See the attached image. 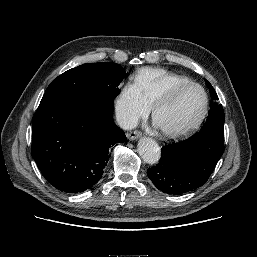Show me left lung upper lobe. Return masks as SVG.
Segmentation results:
<instances>
[{
	"label": "left lung upper lobe",
	"instance_id": "obj_1",
	"mask_svg": "<svg viewBox=\"0 0 257 257\" xmlns=\"http://www.w3.org/2000/svg\"><path fill=\"white\" fill-rule=\"evenodd\" d=\"M206 84L209 87V91L212 99L215 100V103H212L210 111L208 113V118L201 128V130L196 133L200 134H214L218 136H224V110L221 104L216 102L218 96L212 87V85L206 80Z\"/></svg>",
	"mask_w": 257,
	"mask_h": 257
}]
</instances>
